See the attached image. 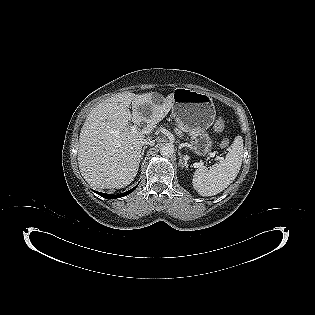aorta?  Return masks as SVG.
I'll list each match as a JSON object with an SVG mask.
<instances>
[{"label": "aorta", "mask_w": 315, "mask_h": 315, "mask_svg": "<svg viewBox=\"0 0 315 315\" xmlns=\"http://www.w3.org/2000/svg\"><path fill=\"white\" fill-rule=\"evenodd\" d=\"M160 153L162 156L169 157L174 153V146L172 144H166L161 147Z\"/></svg>", "instance_id": "obj_1"}]
</instances>
